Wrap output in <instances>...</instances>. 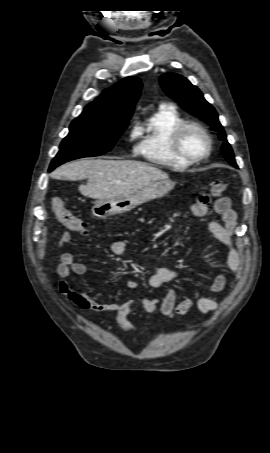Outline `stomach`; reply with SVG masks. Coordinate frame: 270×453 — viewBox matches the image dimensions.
Segmentation results:
<instances>
[{"label": "stomach", "instance_id": "obj_1", "mask_svg": "<svg viewBox=\"0 0 270 453\" xmlns=\"http://www.w3.org/2000/svg\"><path fill=\"white\" fill-rule=\"evenodd\" d=\"M173 187L174 182L169 179L158 180L124 197L98 199L91 211L94 216L101 219L122 214L146 201L164 196L172 190Z\"/></svg>", "mask_w": 270, "mask_h": 453}]
</instances>
